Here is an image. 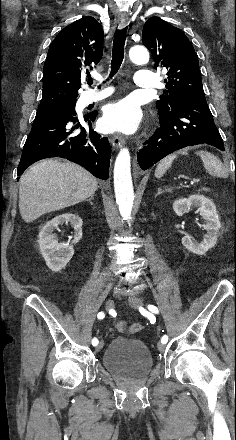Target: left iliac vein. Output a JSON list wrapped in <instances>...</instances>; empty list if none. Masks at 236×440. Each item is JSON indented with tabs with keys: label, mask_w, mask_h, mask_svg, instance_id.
<instances>
[{
	"label": "left iliac vein",
	"mask_w": 236,
	"mask_h": 440,
	"mask_svg": "<svg viewBox=\"0 0 236 440\" xmlns=\"http://www.w3.org/2000/svg\"><path fill=\"white\" fill-rule=\"evenodd\" d=\"M128 303L131 307H134V308H141L143 305L142 300L138 296H135V295L129 297ZM165 348H166V346L164 343L161 342L158 344L159 351L163 352L165 350Z\"/></svg>",
	"instance_id": "4c4485c4"
}]
</instances>
